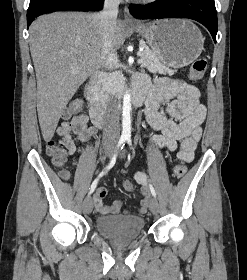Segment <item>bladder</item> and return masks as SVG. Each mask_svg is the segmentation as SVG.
Masks as SVG:
<instances>
[{"label": "bladder", "instance_id": "1", "mask_svg": "<svg viewBox=\"0 0 247 280\" xmlns=\"http://www.w3.org/2000/svg\"><path fill=\"white\" fill-rule=\"evenodd\" d=\"M97 232L114 241H127L142 235L145 221L141 217L118 215L99 216L95 220Z\"/></svg>", "mask_w": 247, "mask_h": 280}]
</instances>
